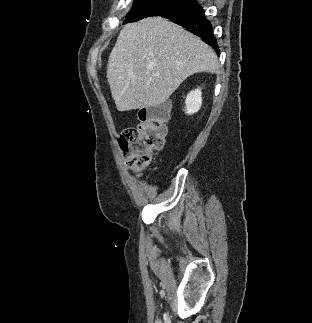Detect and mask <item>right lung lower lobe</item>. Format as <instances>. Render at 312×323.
<instances>
[{
	"label": "right lung lower lobe",
	"mask_w": 312,
	"mask_h": 323,
	"mask_svg": "<svg viewBox=\"0 0 312 323\" xmlns=\"http://www.w3.org/2000/svg\"><path fill=\"white\" fill-rule=\"evenodd\" d=\"M161 16L169 18L172 22L187 28L212 46L218 55L220 54L217 41L212 32L211 23L205 18L204 10L196 1L185 8Z\"/></svg>",
	"instance_id": "obj_1"
}]
</instances>
